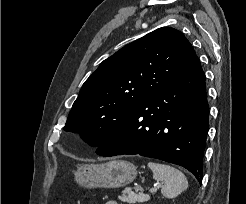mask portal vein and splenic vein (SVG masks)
<instances>
[{
    "instance_id": "portal-vein-and-splenic-vein-1",
    "label": "portal vein and splenic vein",
    "mask_w": 246,
    "mask_h": 204,
    "mask_svg": "<svg viewBox=\"0 0 246 204\" xmlns=\"http://www.w3.org/2000/svg\"><path fill=\"white\" fill-rule=\"evenodd\" d=\"M159 187H161V184L154 185V187L149 189V193H155ZM129 195H134V193L130 191Z\"/></svg>"
}]
</instances>
